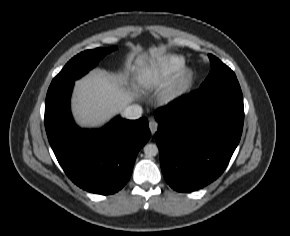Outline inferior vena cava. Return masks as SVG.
Here are the masks:
<instances>
[{"mask_svg": "<svg viewBox=\"0 0 290 236\" xmlns=\"http://www.w3.org/2000/svg\"><path fill=\"white\" fill-rule=\"evenodd\" d=\"M142 112H143L142 107L140 105L135 104L127 107L122 113V115L127 119L135 120L141 117Z\"/></svg>", "mask_w": 290, "mask_h": 236, "instance_id": "obj_1", "label": "inferior vena cava"}]
</instances>
